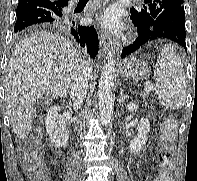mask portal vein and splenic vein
Instances as JSON below:
<instances>
[{
	"label": "portal vein and splenic vein",
	"mask_w": 197,
	"mask_h": 181,
	"mask_svg": "<svg viewBox=\"0 0 197 181\" xmlns=\"http://www.w3.org/2000/svg\"><path fill=\"white\" fill-rule=\"evenodd\" d=\"M152 89H153V86H151V85H146V86H145V92H146V93L151 92Z\"/></svg>",
	"instance_id": "portal-vein-and-splenic-vein-1"
}]
</instances>
